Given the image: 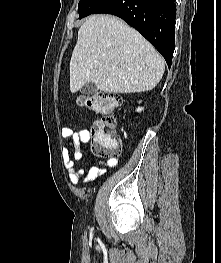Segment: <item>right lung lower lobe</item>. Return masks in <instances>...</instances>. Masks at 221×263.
Returning a JSON list of instances; mask_svg holds the SVG:
<instances>
[{
    "mask_svg": "<svg viewBox=\"0 0 221 263\" xmlns=\"http://www.w3.org/2000/svg\"><path fill=\"white\" fill-rule=\"evenodd\" d=\"M95 13L122 18L150 41L171 67L175 49V0H106Z\"/></svg>",
    "mask_w": 221,
    "mask_h": 263,
    "instance_id": "98d812e1",
    "label": "right lung lower lobe"
}]
</instances>
